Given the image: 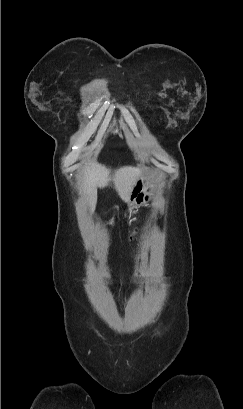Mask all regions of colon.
<instances>
[{
	"label": "colon",
	"mask_w": 243,
	"mask_h": 409,
	"mask_svg": "<svg viewBox=\"0 0 243 409\" xmlns=\"http://www.w3.org/2000/svg\"><path fill=\"white\" fill-rule=\"evenodd\" d=\"M139 232H140V229H139V228H136V229L133 231L132 238H135V237L139 234Z\"/></svg>",
	"instance_id": "5ec220e1"
}]
</instances>
